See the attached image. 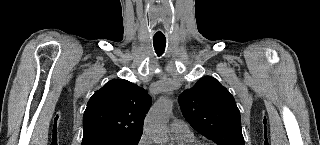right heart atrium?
I'll return each mask as SVG.
<instances>
[{
  "label": "right heart atrium",
  "instance_id": "d8ad5b80",
  "mask_svg": "<svg viewBox=\"0 0 320 145\" xmlns=\"http://www.w3.org/2000/svg\"><path fill=\"white\" fill-rule=\"evenodd\" d=\"M151 144L152 143L146 134H143L138 141V145H151Z\"/></svg>",
  "mask_w": 320,
  "mask_h": 145
}]
</instances>
